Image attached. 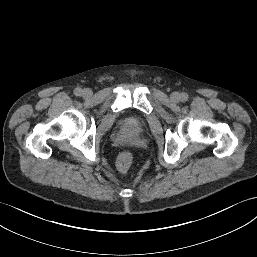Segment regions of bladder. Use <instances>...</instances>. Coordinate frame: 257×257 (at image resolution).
Segmentation results:
<instances>
[{
	"instance_id": "bladder-1",
	"label": "bladder",
	"mask_w": 257,
	"mask_h": 257,
	"mask_svg": "<svg viewBox=\"0 0 257 257\" xmlns=\"http://www.w3.org/2000/svg\"><path fill=\"white\" fill-rule=\"evenodd\" d=\"M127 127L130 128L134 133H140L144 128V124L140 121L130 120L126 123Z\"/></svg>"
}]
</instances>
